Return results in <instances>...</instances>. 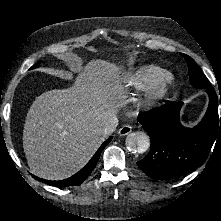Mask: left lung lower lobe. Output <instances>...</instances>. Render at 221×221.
I'll return each instance as SVG.
<instances>
[{
	"label": "left lung lower lobe",
	"mask_w": 221,
	"mask_h": 221,
	"mask_svg": "<svg viewBox=\"0 0 221 221\" xmlns=\"http://www.w3.org/2000/svg\"><path fill=\"white\" fill-rule=\"evenodd\" d=\"M209 106L202 121L194 128H185L179 120L182 102L171 103L140 113L139 122L151 138L148 155L137 162L149 177L170 179L185 175L207 159L214 141L221 139V117L218 105L221 93L206 89Z\"/></svg>",
	"instance_id": "left-lung-lower-lobe-1"
}]
</instances>
